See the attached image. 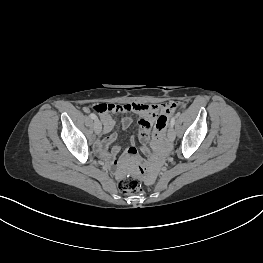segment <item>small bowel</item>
Returning <instances> with one entry per match:
<instances>
[{
  "label": "small bowel",
  "mask_w": 263,
  "mask_h": 263,
  "mask_svg": "<svg viewBox=\"0 0 263 263\" xmlns=\"http://www.w3.org/2000/svg\"><path fill=\"white\" fill-rule=\"evenodd\" d=\"M167 107L163 113H140L139 119V133L138 140L143 152L148 153V146L150 149V162L142 163L141 158L137 153L134 139L131 140L130 145L127 147L124 155L116 160L114 157L121 151V145L113 143L117 139L116 133L109 134L116 126V121L111 115H100L103 123V132L109 134L108 136L99 139L95 143L96 152L106 160H108L117 169V173L122 175L129 168L133 169L136 175L145 174L144 181L147 184H152L155 181V176L159 172L163 164V144L165 135L168 132V126L172 121V117L180 109V104L174 99L167 100ZM132 119L125 117L120 121V126L123 129L130 127ZM152 132V134H151Z\"/></svg>",
  "instance_id": "c3829d8e"
}]
</instances>
